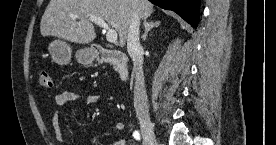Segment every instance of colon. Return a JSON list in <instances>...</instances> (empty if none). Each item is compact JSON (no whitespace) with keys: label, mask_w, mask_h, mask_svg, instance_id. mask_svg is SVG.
Listing matches in <instances>:
<instances>
[{"label":"colon","mask_w":276,"mask_h":145,"mask_svg":"<svg viewBox=\"0 0 276 145\" xmlns=\"http://www.w3.org/2000/svg\"><path fill=\"white\" fill-rule=\"evenodd\" d=\"M37 85L40 88L50 89L53 87V79L51 73L47 70H41L38 73Z\"/></svg>","instance_id":"obj_1"}]
</instances>
